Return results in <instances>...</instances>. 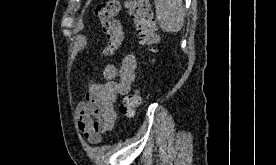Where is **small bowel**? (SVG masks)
<instances>
[{
	"instance_id": "obj_1",
	"label": "small bowel",
	"mask_w": 276,
	"mask_h": 165,
	"mask_svg": "<svg viewBox=\"0 0 276 165\" xmlns=\"http://www.w3.org/2000/svg\"><path fill=\"white\" fill-rule=\"evenodd\" d=\"M136 67L135 54L128 53L119 67L113 64L104 67V83H90L84 101L76 109L79 129L88 142L99 143L102 135L114 128L116 99L130 92L136 79Z\"/></svg>"
}]
</instances>
